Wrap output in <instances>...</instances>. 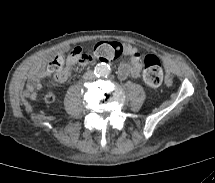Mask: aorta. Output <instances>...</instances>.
<instances>
[{"label": "aorta", "mask_w": 215, "mask_h": 183, "mask_svg": "<svg viewBox=\"0 0 215 183\" xmlns=\"http://www.w3.org/2000/svg\"><path fill=\"white\" fill-rule=\"evenodd\" d=\"M111 72V68L106 63H99L95 66L94 73L99 77H107Z\"/></svg>", "instance_id": "1"}]
</instances>
